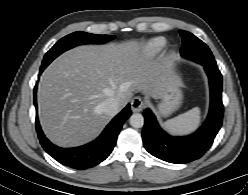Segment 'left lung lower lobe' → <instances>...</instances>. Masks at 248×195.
I'll list each match as a JSON object with an SVG mask.
<instances>
[{"instance_id": "obj_1", "label": "left lung lower lobe", "mask_w": 248, "mask_h": 195, "mask_svg": "<svg viewBox=\"0 0 248 195\" xmlns=\"http://www.w3.org/2000/svg\"><path fill=\"white\" fill-rule=\"evenodd\" d=\"M209 78L210 109L204 124L193 134L172 137L159 126L150 109L143 113L142 132L144 147L153 156L170 163H188L200 158L212 145L223 120L222 75L215 61L206 59L203 64Z\"/></svg>"}]
</instances>
